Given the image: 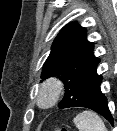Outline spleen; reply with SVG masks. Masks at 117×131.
<instances>
[{
    "mask_svg": "<svg viewBox=\"0 0 117 131\" xmlns=\"http://www.w3.org/2000/svg\"><path fill=\"white\" fill-rule=\"evenodd\" d=\"M73 123L79 131H107L102 119L89 110L77 114L73 119Z\"/></svg>",
    "mask_w": 117,
    "mask_h": 131,
    "instance_id": "obj_1",
    "label": "spleen"
}]
</instances>
